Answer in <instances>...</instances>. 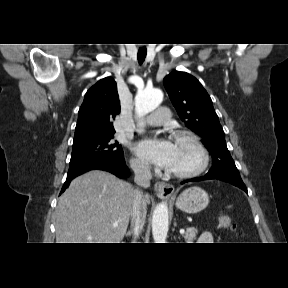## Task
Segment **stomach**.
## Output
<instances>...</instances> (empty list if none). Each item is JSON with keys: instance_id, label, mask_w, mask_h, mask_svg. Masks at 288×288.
<instances>
[{"instance_id": "0dacf381", "label": "stomach", "mask_w": 288, "mask_h": 288, "mask_svg": "<svg viewBox=\"0 0 288 288\" xmlns=\"http://www.w3.org/2000/svg\"><path fill=\"white\" fill-rule=\"evenodd\" d=\"M209 203V196L200 187H190L184 190L176 200L178 209L185 213L194 214L202 211Z\"/></svg>"}]
</instances>
